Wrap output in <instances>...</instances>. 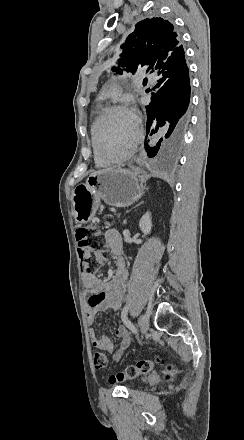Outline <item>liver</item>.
<instances>
[{"mask_svg":"<svg viewBox=\"0 0 244 440\" xmlns=\"http://www.w3.org/2000/svg\"><path fill=\"white\" fill-rule=\"evenodd\" d=\"M112 168H107V170H99V172H94V174H103V172H110Z\"/></svg>","mask_w":244,"mask_h":440,"instance_id":"1","label":"liver"}]
</instances>
